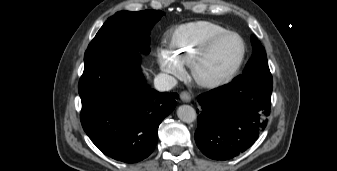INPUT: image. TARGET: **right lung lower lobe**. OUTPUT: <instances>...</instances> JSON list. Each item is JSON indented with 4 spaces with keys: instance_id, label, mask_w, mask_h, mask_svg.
Segmentation results:
<instances>
[{
    "instance_id": "98d812e1",
    "label": "right lung lower lobe",
    "mask_w": 337,
    "mask_h": 171,
    "mask_svg": "<svg viewBox=\"0 0 337 171\" xmlns=\"http://www.w3.org/2000/svg\"><path fill=\"white\" fill-rule=\"evenodd\" d=\"M84 62L78 87L84 131L115 160L135 163L147 158L178 94L159 93L146 84L135 50L109 48Z\"/></svg>"
}]
</instances>
